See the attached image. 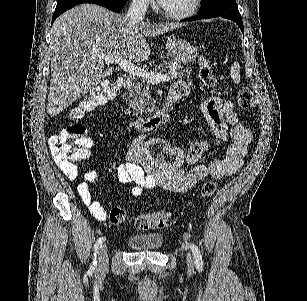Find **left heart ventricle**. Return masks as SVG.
<instances>
[{
    "label": "left heart ventricle",
    "instance_id": "left-heart-ventricle-1",
    "mask_svg": "<svg viewBox=\"0 0 307 301\" xmlns=\"http://www.w3.org/2000/svg\"><path fill=\"white\" fill-rule=\"evenodd\" d=\"M191 2L192 0H168V5L177 11H183Z\"/></svg>",
    "mask_w": 307,
    "mask_h": 301
}]
</instances>
